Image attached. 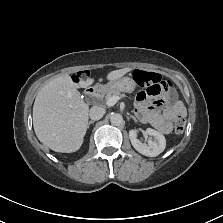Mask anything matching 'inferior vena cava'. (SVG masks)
<instances>
[{
	"instance_id": "602c4592",
	"label": "inferior vena cava",
	"mask_w": 223,
	"mask_h": 223,
	"mask_svg": "<svg viewBox=\"0 0 223 223\" xmlns=\"http://www.w3.org/2000/svg\"><path fill=\"white\" fill-rule=\"evenodd\" d=\"M104 114H105V108L97 105L92 106L89 111V116L93 120H98L102 118Z\"/></svg>"
}]
</instances>
